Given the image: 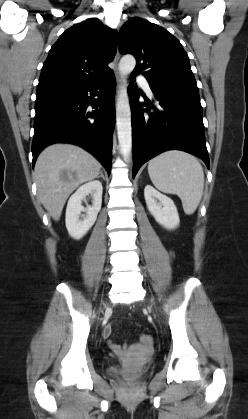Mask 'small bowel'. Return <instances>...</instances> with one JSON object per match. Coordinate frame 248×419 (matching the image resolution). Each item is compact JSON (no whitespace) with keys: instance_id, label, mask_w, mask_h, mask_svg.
Masks as SVG:
<instances>
[{"instance_id":"c3829d8e","label":"small bowel","mask_w":248,"mask_h":419,"mask_svg":"<svg viewBox=\"0 0 248 419\" xmlns=\"http://www.w3.org/2000/svg\"><path fill=\"white\" fill-rule=\"evenodd\" d=\"M111 332H112L111 327H107V328L105 329V334H106V336H110ZM110 346H111V348H112V350H113V352H114L115 354H117V355H119V356H121V355H122V348H121V346H120V345L115 344V343H110Z\"/></svg>"}]
</instances>
